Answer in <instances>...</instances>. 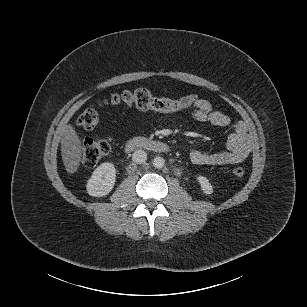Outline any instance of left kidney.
Segmentation results:
<instances>
[{
    "instance_id": "5707ae66",
    "label": "left kidney",
    "mask_w": 307,
    "mask_h": 307,
    "mask_svg": "<svg viewBox=\"0 0 307 307\" xmlns=\"http://www.w3.org/2000/svg\"><path fill=\"white\" fill-rule=\"evenodd\" d=\"M196 180L198 182V184L200 185V189L202 191V193L205 196H213L215 189L213 184H211V182L209 181V179L202 175V174H198L196 176Z\"/></svg>"
}]
</instances>
